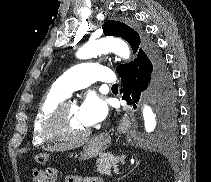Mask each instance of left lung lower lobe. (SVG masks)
Wrapping results in <instances>:
<instances>
[{
  "mask_svg": "<svg viewBox=\"0 0 211 182\" xmlns=\"http://www.w3.org/2000/svg\"><path fill=\"white\" fill-rule=\"evenodd\" d=\"M119 76L123 100L136 108L141 92L146 91L162 119L168 120L170 111L175 107L176 91L164 58L154 44L139 51L132 65Z\"/></svg>",
  "mask_w": 211,
  "mask_h": 182,
  "instance_id": "0a47b994",
  "label": "left lung lower lobe"
}]
</instances>
